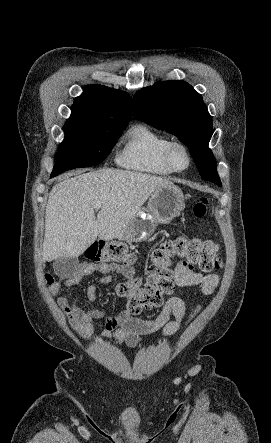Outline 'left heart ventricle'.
<instances>
[{"label":"left heart ventricle","instance_id":"left-heart-ventricle-1","mask_svg":"<svg viewBox=\"0 0 271 443\" xmlns=\"http://www.w3.org/2000/svg\"><path fill=\"white\" fill-rule=\"evenodd\" d=\"M173 160L175 165L180 169H185L189 165V157L186 151L178 146L173 151Z\"/></svg>","mask_w":271,"mask_h":443}]
</instances>
